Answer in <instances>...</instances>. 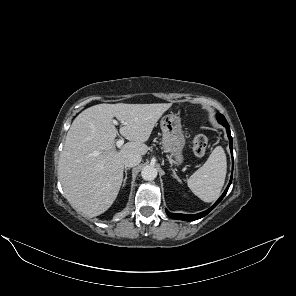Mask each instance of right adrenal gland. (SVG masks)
<instances>
[{"label": "right adrenal gland", "mask_w": 296, "mask_h": 296, "mask_svg": "<svg viewBox=\"0 0 296 296\" xmlns=\"http://www.w3.org/2000/svg\"><path fill=\"white\" fill-rule=\"evenodd\" d=\"M130 168H125V178L123 180V187L125 186L126 184V180H127V171L129 170Z\"/></svg>", "instance_id": "obj_1"}]
</instances>
